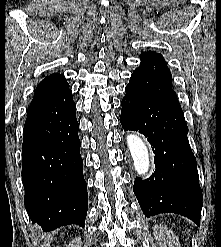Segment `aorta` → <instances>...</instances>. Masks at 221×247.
Returning <instances> with one entry per match:
<instances>
[{"mask_svg":"<svg viewBox=\"0 0 221 247\" xmlns=\"http://www.w3.org/2000/svg\"><path fill=\"white\" fill-rule=\"evenodd\" d=\"M127 145L134 161L135 170L139 175H145L150 168L149 151L141 137L130 134L127 136Z\"/></svg>","mask_w":221,"mask_h":247,"instance_id":"762f6f07","label":"aorta"}]
</instances>
